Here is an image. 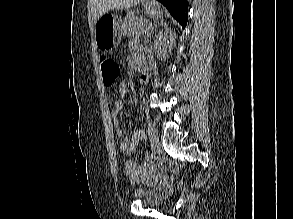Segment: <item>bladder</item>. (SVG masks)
<instances>
[{"instance_id": "31cf9c89", "label": "bladder", "mask_w": 293, "mask_h": 219, "mask_svg": "<svg viewBox=\"0 0 293 219\" xmlns=\"http://www.w3.org/2000/svg\"><path fill=\"white\" fill-rule=\"evenodd\" d=\"M132 196L136 198H140L145 202L153 203L158 198V193L155 190L145 188V187H138L132 191Z\"/></svg>"}]
</instances>
